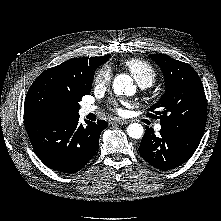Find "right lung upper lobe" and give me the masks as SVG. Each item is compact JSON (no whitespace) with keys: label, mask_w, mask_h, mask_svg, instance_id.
Masks as SVG:
<instances>
[{"label":"right lung upper lobe","mask_w":221,"mask_h":221,"mask_svg":"<svg viewBox=\"0 0 221 221\" xmlns=\"http://www.w3.org/2000/svg\"><path fill=\"white\" fill-rule=\"evenodd\" d=\"M109 58L110 55L102 57H91L89 59L87 57L75 58L67 60L62 64L50 68L44 72L56 75L59 78L69 82L86 84L90 81L96 68L100 64L105 63Z\"/></svg>","instance_id":"right-lung-upper-lobe-1"}]
</instances>
